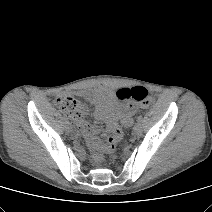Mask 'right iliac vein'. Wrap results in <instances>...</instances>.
Returning a JSON list of instances; mask_svg holds the SVG:
<instances>
[{"label":"right iliac vein","instance_id":"obj_1","mask_svg":"<svg viewBox=\"0 0 212 212\" xmlns=\"http://www.w3.org/2000/svg\"><path fill=\"white\" fill-rule=\"evenodd\" d=\"M66 129H67V131H71L72 130V127H71V125L69 123L66 124Z\"/></svg>","mask_w":212,"mask_h":212}]
</instances>
